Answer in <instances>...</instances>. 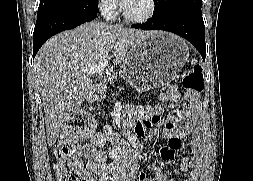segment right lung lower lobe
<instances>
[{
  "instance_id": "98d812e1",
  "label": "right lung lower lobe",
  "mask_w": 253,
  "mask_h": 181,
  "mask_svg": "<svg viewBox=\"0 0 253 181\" xmlns=\"http://www.w3.org/2000/svg\"><path fill=\"white\" fill-rule=\"evenodd\" d=\"M97 12L98 7L84 2L68 3L38 12L33 33V58L51 36L95 19Z\"/></svg>"
}]
</instances>
